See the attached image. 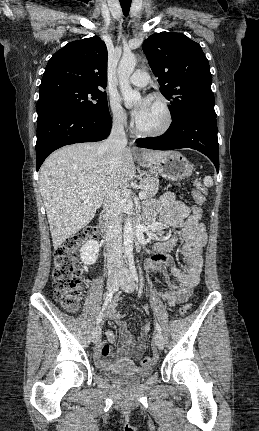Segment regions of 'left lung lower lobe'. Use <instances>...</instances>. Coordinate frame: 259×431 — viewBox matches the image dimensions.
Returning <instances> with one entry per match:
<instances>
[{
	"mask_svg": "<svg viewBox=\"0 0 259 431\" xmlns=\"http://www.w3.org/2000/svg\"><path fill=\"white\" fill-rule=\"evenodd\" d=\"M140 147L155 150L191 148L205 154L219 171L216 116L189 112L172 119L169 129L158 137L138 139Z\"/></svg>",
	"mask_w": 259,
	"mask_h": 431,
	"instance_id": "left-lung-lower-lobe-1",
	"label": "left lung lower lobe"
}]
</instances>
